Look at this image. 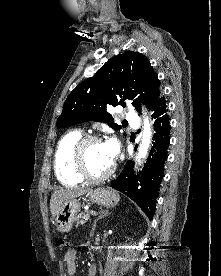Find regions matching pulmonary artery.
I'll use <instances>...</instances> for the list:
<instances>
[{
    "label": "pulmonary artery",
    "mask_w": 221,
    "mask_h": 276,
    "mask_svg": "<svg viewBox=\"0 0 221 276\" xmlns=\"http://www.w3.org/2000/svg\"><path fill=\"white\" fill-rule=\"evenodd\" d=\"M126 117H127V119H128L129 121H131V122H135L136 119H137V115L135 114L134 111H129V112H127Z\"/></svg>",
    "instance_id": "1"
}]
</instances>
